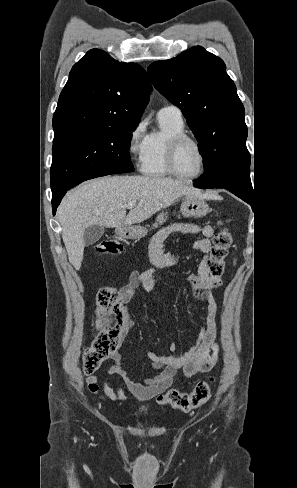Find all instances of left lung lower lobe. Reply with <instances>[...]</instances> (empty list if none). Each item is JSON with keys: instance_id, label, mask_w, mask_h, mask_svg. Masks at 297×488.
<instances>
[{"instance_id": "0a47b994", "label": "left lung lower lobe", "mask_w": 297, "mask_h": 488, "mask_svg": "<svg viewBox=\"0 0 297 488\" xmlns=\"http://www.w3.org/2000/svg\"><path fill=\"white\" fill-rule=\"evenodd\" d=\"M225 189L229 190L230 192H232L233 194H235L236 196H238L239 198H241L242 200H244L248 204L252 205L251 203H253V195L243 194L237 190H234V189L228 188V187H225Z\"/></svg>"}]
</instances>
